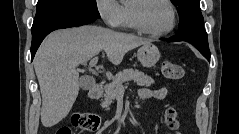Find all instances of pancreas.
I'll return each mask as SVG.
<instances>
[{"label":"pancreas","mask_w":239,"mask_h":134,"mask_svg":"<svg viewBox=\"0 0 239 134\" xmlns=\"http://www.w3.org/2000/svg\"><path fill=\"white\" fill-rule=\"evenodd\" d=\"M134 81L139 86L149 87L154 84V80L145 75L143 72L136 69H125L120 71L116 76L113 77L111 83L105 86L104 101L101 106L106 110L109 109V105L116 98L118 89L120 86L127 81Z\"/></svg>","instance_id":"obj_1"}]
</instances>
